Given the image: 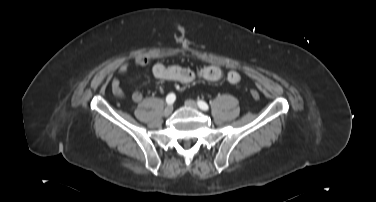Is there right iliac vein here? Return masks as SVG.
<instances>
[{
    "instance_id": "obj_1",
    "label": "right iliac vein",
    "mask_w": 376,
    "mask_h": 202,
    "mask_svg": "<svg viewBox=\"0 0 376 202\" xmlns=\"http://www.w3.org/2000/svg\"><path fill=\"white\" fill-rule=\"evenodd\" d=\"M173 112V106L172 105H168L165 109H164V116H169L171 115Z\"/></svg>"
}]
</instances>
